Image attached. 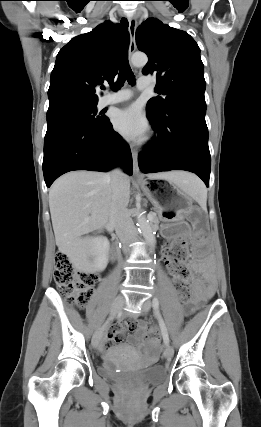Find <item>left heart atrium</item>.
<instances>
[{"label":"left heart atrium","mask_w":261,"mask_h":427,"mask_svg":"<svg viewBox=\"0 0 261 427\" xmlns=\"http://www.w3.org/2000/svg\"><path fill=\"white\" fill-rule=\"evenodd\" d=\"M115 129L127 140L142 141L147 137L149 125L137 105L116 112L113 118Z\"/></svg>","instance_id":"left-heart-atrium-1"}]
</instances>
